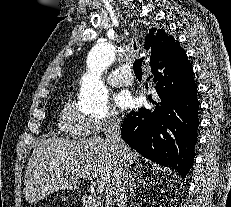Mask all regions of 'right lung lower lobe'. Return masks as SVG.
<instances>
[{
  "mask_svg": "<svg viewBox=\"0 0 231 207\" xmlns=\"http://www.w3.org/2000/svg\"><path fill=\"white\" fill-rule=\"evenodd\" d=\"M164 65V61L151 64L154 98L150 96L149 106L127 115L122 138L145 158L179 171L184 178L194 162L197 142V88L188 60Z\"/></svg>",
  "mask_w": 231,
  "mask_h": 207,
  "instance_id": "98d812e1",
  "label": "right lung lower lobe"
}]
</instances>
